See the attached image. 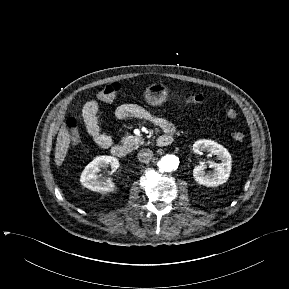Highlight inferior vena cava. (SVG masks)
<instances>
[{"instance_id":"obj_1","label":"inferior vena cava","mask_w":289,"mask_h":289,"mask_svg":"<svg viewBox=\"0 0 289 289\" xmlns=\"http://www.w3.org/2000/svg\"><path fill=\"white\" fill-rule=\"evenodd\" d=\"M153 156V152L150 149H142L137 154L138 160L143 163H148Z\"/></svg>"}]
</instances>
